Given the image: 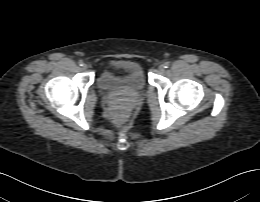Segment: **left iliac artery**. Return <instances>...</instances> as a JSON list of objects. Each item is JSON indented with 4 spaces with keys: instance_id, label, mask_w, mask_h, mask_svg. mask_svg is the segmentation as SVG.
Wrapping results in <instances>:
<instances>
[{
    "instance_id": "left-iliac-artery-1",
    "label": "left iliac artery",
    "mask_w": 260,
    "mask_h": 202,
    "mask_svg": "<svg viewBox=\"0 0 260 202\" xmlns=\"http://www.w3.org/2000/svg\"><path fill=\"white\" fill-rule=\"evenodd\" d=\"M169 66H170V63H169V62H165V63H164V67H165V68H168Z\"/></svg>"
}]
</instances>
